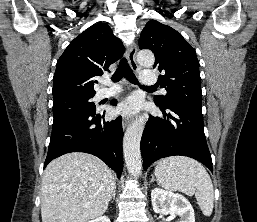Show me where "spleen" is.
I'll use <instances>...</instances> for the list:
<instances>
[{"label": "spleen", "instance_id": "spleen-1", "mask_svg": "<svg viewBox=\"0 0 257 222\" xmlns=\"http://www.w3.org/2000/svg\"><path fill=\"white\" fill-rule=\"evenodd\" d=\"M158 184L170 191L195 195L202 213L209 217L214 207V189L206 169L196 160L173 156L160 160L155 167Z\"/></svg>", "mask_w": 257, "mask_h": 222}]
</instances>
